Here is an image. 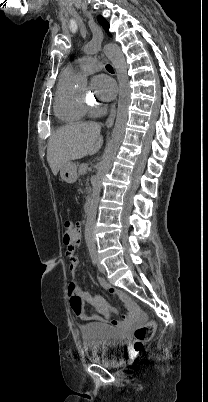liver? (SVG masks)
Masks as SVG:
<instances>
[{"mask_svg": "<svg viewBox=\"0 0 208 402\" xmlns=\"http://www.w3.org/2000/svg\"><path fill=\"white\" fill-rule=\"evenodd\" d=\"M100 132L101 126L96 122H75L56 130L47 148V162L54 176L67 162L96 154L103 144Z\"/></svg>", "mask_w": 208, "mask_h": 402, "instance_id": "liver-1", "label": "liver"}]
</instances>
